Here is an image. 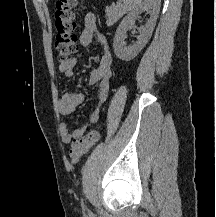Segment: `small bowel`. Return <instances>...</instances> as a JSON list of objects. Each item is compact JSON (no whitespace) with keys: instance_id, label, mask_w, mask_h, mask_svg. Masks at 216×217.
I'll return each instance as SVG.
<instances>
[{"instance_id":"c3829d8e","label":"small bowel","mask_w":216,"mask_h":217,"mask_svg":"<svg viewBox=\"0 0 216 217\" xmlns=\"http://www.w3.org/2000/svg\"><path fill=\"white\" fill-rule=\"evenodd\" d=\"M84 29L80 35V43L84 46L89 45L94 38H96L104 47V52L101 56L99 65L90 74L89 84L99 85L98 91V105L90 114L88 121L81 126L70 129L68 124L63 122L60 124V138L63 143L73 142L80 137H82L87 130L94 124H96L100 117L101 105L108 98L111 78H112V55L107 46L105 37L99 32L97 18L93 13H87L83 20ZM80 55L72 57L67 62H61L59 64V71L65 75L67 78H72L74 76V69ZM85 96L82 92H68L65 93L58 101V111L62 116H67L73 114L77 107L84 102Z\"/></svg>"}]
</instances>
